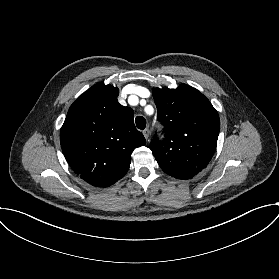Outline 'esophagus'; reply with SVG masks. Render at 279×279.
Here are the masks:
<instances>
[{
    "instance_id": "34e87169",
    "label": "esophagus",
    "mask_w": 279,
    "mask_h": 279,
    "mask_svg": "<svg viewBox=\"0 0 279 279\" xmlns=\"http://www.w3.org/2000/svg\"><path fill=\"white\" fill-rule=\"evenodd\" d=\"M142 133H143L145 139L147 140L149 138V135H150V130L148 128H146V129L143 130Z\"/></svg>"
}]
</instances>
